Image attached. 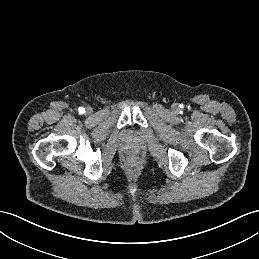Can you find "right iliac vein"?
Listing matches in <instances>:
<instances>
[{
    "label": "right iliac vein",
    "instance_id": "1",
    "mask_svg": "<svg viewBox=\"0 0 259 259\" xmlns=\"http://www.w3.org/2000/svg\"><path fill=\"white\" fill-rule=\"evenodd\" d=\"M86 112H87V113H90V112H91V109H90V108H87V109H86Z\"/></svg>",
    "mask_w": 259,
    "mask_h": 259
}]
</instances>
